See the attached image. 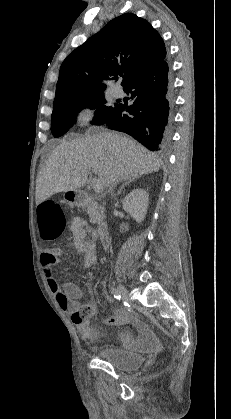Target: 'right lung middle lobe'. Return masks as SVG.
Listing matches in <instances>:
<instances>
[{
  "instance_id": "obj_1",
  "label": "right lung middle lobe",
  "mask_w": 231,
  "mask_h": 419,
  "mask_svg": "<svg viewBox=\"0 0 231 419\" xmlns=\"http://www.w3.org/2000/svg\"><path fill=\"white\" fill-rule=\"evenodd\" d=\"M104 92H97L81 97L70 98L54 103L51 116V132L54 137L65 134L75 123L77 114L83 108H97L93 124L99 125L118 104L113 107L105 105Z\"/></svg>"
}]
</instances>
